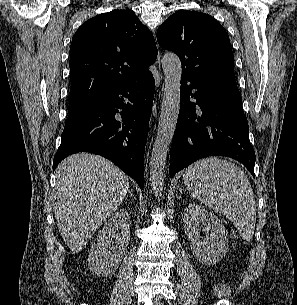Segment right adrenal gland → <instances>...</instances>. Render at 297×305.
Here are the masks:
<instances>
[{
	"instance_id": "obj_1",
	"label": "right adrenal gland",
	"mask_w": 297,
	"mask_h": 305,
	"mask_svg": "<svg viewBox=\"0 0 297 305\" xmlns=\"http://www.w3.org/2000/svg\"><path fill=\"white\" fill-rule=\"evenodd\" d=\"M128 196L132 197V193H131V191H129V195H128Z\"/></svg>"
}]
</instances>
